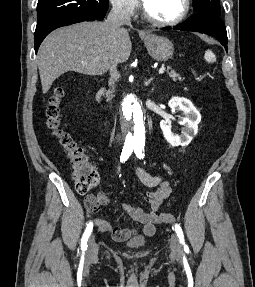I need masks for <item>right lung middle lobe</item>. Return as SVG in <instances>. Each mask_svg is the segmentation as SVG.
I'll return each instance as SVG.
<instances>
[{"instance_id":"right-lung-middle-lobe-1","label":"right lung middle lobe","mask_w":255,"mask_h":287,"mask_svg":"<svg viewBox=\"0 0 255 287\" xmlns=\"http://www.w3.org/2000/svg\"><path fill=\"white\" fill-rule=\"evenodd\" d=\"M107 9L108 0H39L37 22L68 14H81L95 20H102Z\"/></svg>"}]
</instances>
